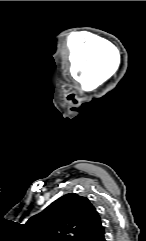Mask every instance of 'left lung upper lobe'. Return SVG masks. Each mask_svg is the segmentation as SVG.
<instances>
[{"label":"left lung upper lobe","mask_w":146,"mask_h":241,"mask_svg":"<svg viewBox=\"0 0 146 241\" xmlns=\"http://www.w3.org/2000/svg\"><path fill=\"white\" fill-rule=\"evenodd\" d=\"M100 224V216L90 201L70 193L31 217L26 226L36 241H80Z\"/></svg>","instance_id":"5c2ea615"}]
</instances>
